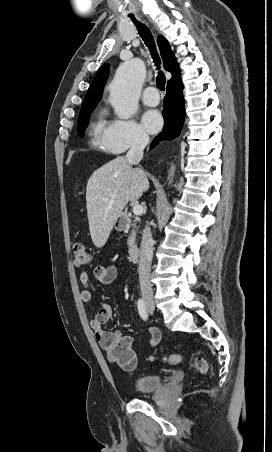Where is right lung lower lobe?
<instances>
[{"mask_svg":"<svg viewBox=\"0 0 272 452\" xmlns=\"http://www.w3.org/2000/svg\"><path fill=\"white\" fill-rule=\"evenodd\" d=\"M166 90L163 108L164 128L152 142L151 148L155 147L160 140H172L178 136L184 123L185 107L181 79L167 85Z\"/></svg>","mask_w":272,"mask_h":452,"instance_id":"98d812e1","label":"right lung lower lobe"}]
</instances>
